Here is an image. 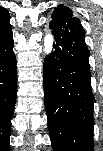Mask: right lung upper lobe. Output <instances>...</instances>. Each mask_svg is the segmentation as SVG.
<instances>
[{"mask_svg": "<svg viewBox=\"0 0 103 151\" xmlns=\"http://www.w3.org/2000/svg\"><path fill=\"white\" fill-rule=\"evenodd\" d=\"M8 24H9L8 19L7 20L1 19V21H0V29H2L3 27H5Z\"/></svg>", "mask_w": 103, "mask_h": 151, "instance_id": "obj_1", "label": "right lung upper lobe"}]
</instances>
